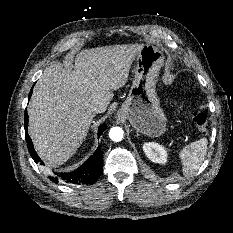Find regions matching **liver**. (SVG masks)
Segmentation results:
<instances>
[{
    "label": "liver",
    "mask_w": 233,
    "mask_h": 233,
    "mask_svg": "<svg viewBox=\"0 0 233 233\" xmlns=\"http://www.w3.org/2000/svg\"><path fill=\"white\" fill-rule=\"evenodd\" d=\"M142 46L86 49L76 55L73 71L58 64L44 70L28 106V132L38 155L49 166L62 165L76 153L95 113L105 112L113 90L127 82Z\"/></svg>",
    "instance_id": "liver-1"
}]
</instances>
